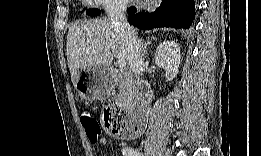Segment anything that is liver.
<instances>
[{"label":"liver","instance_id":"liver-1","mask_svg":"<svg viewBox=\"0 0 261 156\" xmlns=\"http://www.w3.org/2000/svg\"><path fill=\"white\" fill-rule=\"evenodd\" d=\"M67 61L75 86L82 70L96 65H110L113 57L127 60L124 37L109 18L73 24L67 35Z\"/></svg>","mask_w":261,"mask_h":156}]
</instances>
